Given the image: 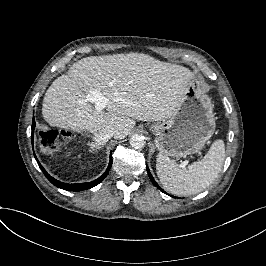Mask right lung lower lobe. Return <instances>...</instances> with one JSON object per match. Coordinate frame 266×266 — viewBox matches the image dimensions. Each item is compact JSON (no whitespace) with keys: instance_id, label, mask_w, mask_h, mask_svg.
<instances>
[{"instance_id":"right-lung-lower-lobe-1","label":"right lung lower lobe","mask_w":266,"mask_h":266,"mask_svg":"<svg viewBox=\"0 0 266 266\" xmlns=\"http://www.w3.org/2000/svg\"><path fill=\"white\" fill-rule=\"evenodd\" d=\"M34 129H35V120L33 118L32 120V135H31V141H32V147H33V140H34ZM37 163L39 165V167L41 168V170L43 171V173L45 174V176L47 177V179L55 186H57L58 188L64 189V190H68V191H82V190H87L90 189L96 185H98L108 174L110 168H111V164H112V153L110 155V162H109V166L107 168V170L105 171V173L99 177L98 179L89 182V183H79V184H67V183H62L56 179H54L53 177H51L46 170L43 168V166L40 164V162L38 161L36 155L34 154Z\"/></svg>"}]
</instances>
